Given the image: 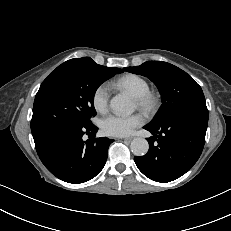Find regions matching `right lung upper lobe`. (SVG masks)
I'll list each match as a JSON object with an SVG mask.
<instances>
[{
  "instance_id": "cb5924a9",
  "label": "right lung upper lobe",
  "mask_w": 231,
  "mask_h": 231,
  "mask_svg": "<svg viewBox=\"0 0 231 231\" xmlns=\"http://www.w3.org/2000/svg\"><path fill=\"white\" fill-rule=\"evenodd\" d=\"M87 61H93L91 58L89 57H83V58H75V59H71L66 61L65 63H71V62H87Z\"/></svg>"
}]
</instances>
